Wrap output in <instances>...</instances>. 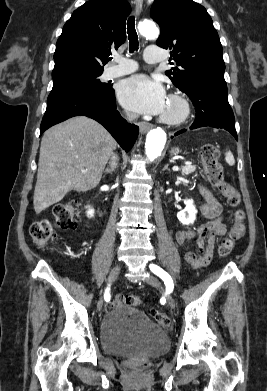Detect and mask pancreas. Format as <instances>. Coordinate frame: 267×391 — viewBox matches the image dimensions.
I'll return each mask as SVG.
<instances>
[{
  "label": "pancreas",
  "mask_w": 267,
  "mask_h": 391,
  "mask_svg": "<svg viewBox=\"0 0 267 391\" xmlns=\"http://www.w3.org/2000/svg\"><path fill=\"white\" fill-rule=\"evenodd\" d=\"M195 166H191V165H188V166H183L182 168H181V170H182V174L185 176V175H189V174H191L192 172H194L195 171Z\"/></svg>",
  "instance_id": "1"
}]
</instances>
